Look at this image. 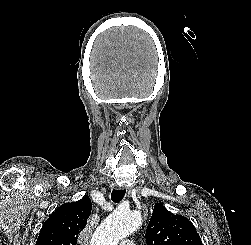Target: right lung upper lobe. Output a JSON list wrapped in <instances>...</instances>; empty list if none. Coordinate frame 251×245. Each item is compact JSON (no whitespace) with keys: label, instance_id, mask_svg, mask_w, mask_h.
<instances>
[{"label":"right lung upper lobe","instance_id":"1","mask_svg":"<svg viewBox=\"0 0 251 245\" xmlns=\"http://www.w3.org/2000/svg\"><path fill=\"white\" fill-rule=\"evenodd\" d=\"M88 197L58 207L44 222L36 245H77L79 233L91 213Z\"/></svg>","mask_w":251,"mask_h":245}]
</instances>
